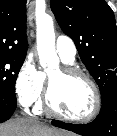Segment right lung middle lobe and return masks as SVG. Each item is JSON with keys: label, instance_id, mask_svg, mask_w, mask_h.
<instances>
[{"label": "right lung middle lobe", "instance_id": "dd1d6c3e", "mask_svg": "<svg viewBox=\"0 0 117 136\" xmlns=\"http://www.w3.org/2000/svg\"><path fill=\"white\" fill-rule=\"evenodd\" d=\"M25 57L0 55V93L15 96V82Z\"/></svg>", "mask_w": 117, "mask_h": 136}]
</instances>
